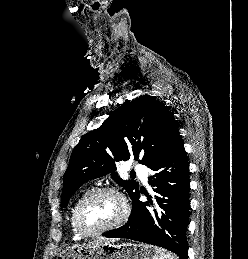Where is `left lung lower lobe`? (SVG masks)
Masks as SVG:
<instances>
[{
    "mask_svg": "<svg viewBox=\"0 0 248 259\" xmlns=\"http://www.w3.org/2000/svg\"><path fill=\"white\" fill-rule=\"evenodd\" d=\"M150 169L155 174L149 177V183L156 186L154 191L162 196L156 197L163 209L161 218L155 212L157 222L154 221L146 207L149 204L139 201L138 191L132 197L133 210L128 222L103 236L128 238L160 246L174 252L180 259H188L186 229L190 213V182L183 142L180 141L162 155Z\"/></svg>",
    "mask_w": 248,
    "mask_h": 259,
    "instance_id": "0a47b994",
    "label": "left lung lower lobe"
}]
</instances>
